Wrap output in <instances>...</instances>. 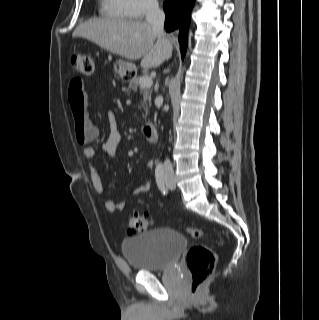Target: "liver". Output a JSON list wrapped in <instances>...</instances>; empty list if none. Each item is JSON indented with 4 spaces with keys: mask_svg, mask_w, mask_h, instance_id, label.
Segmentation results:
<instances>
[{
    "mask_svg": "<svg viewBox=\"0 0 319 320\" xmlns=\"http://www.w3.org/2000/svg\"><path fill=\"white\" fill-rule=\"evenodd\" d=\"M72 36L92 41L128 60L142 58L143 67H158L172 53L171 43L161 39L148 22L139 20L91 19L80 24Z\"/></svg>",
    "mask_w": 319,
    "mask_h": 320,
    "instance_id": "6515ba94",
    "label": "liver"
}]
</instances>
